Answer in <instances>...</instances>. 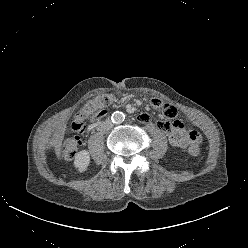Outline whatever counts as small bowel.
Here are the masks:
<instances>
[{
    "label": "small bowel",
    "instance_id": "c3829d8e",
    "mask_svg": "<svg viewBox=\"0 0 248 248\" xmlns=\"http://www.w3.org/2000/svg\"><path fill=\"white\" fill-rule=\"evenodd\" d=\"M151 106L161 111V117L156 120V126L168 134L170 144L173 147L186 148L192 142L193 131H186L183 122L180 120L170 123V120L173 121L177 119V106L173 103L163 101V98L159 96L151 100ZM108 111L109 108L105 107L95 116V119L103 117ZM139 120L142 123H147L150 121V116L147 113H142L139 116Z\"/></svg>",
    "mask_w": 248,
    "mask_h": 248
}]
</instances>
